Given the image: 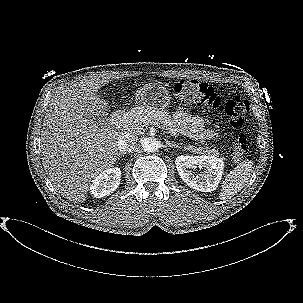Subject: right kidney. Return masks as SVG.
Wrapping results in <instances>:
<instances>
[{"mask_svg":"<svg viewBox=\"0 0 303 303\" xmlns=\"http://www.w3.org/2000/svg\"><path fill=\"white\" fill-rule=\"evenodd\" d=\"M121 180V171L118 167L109 168L98 174L90 185V192L96 198H102L114 192Z\"/></svg>","mask_w":303,"mask_h":303,"instance_id":"1","label":"right kidney"}]
</instances>
